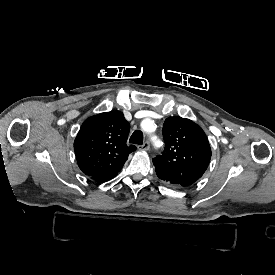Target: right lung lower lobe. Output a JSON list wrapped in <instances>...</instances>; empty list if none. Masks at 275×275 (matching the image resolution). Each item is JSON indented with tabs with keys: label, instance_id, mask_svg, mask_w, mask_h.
<instances>
[{
	"label": "right lung lower lobe",
	"instance_id": "98d812e1",
	"mask_svg": "<svg viewBox=\"0 0 275 275\" xmlns=\"http://www.w3.org/2000/svg\"><path fill=\"white\" fill-rule=\"evenodd\" d=\"M117 174L113 175H97V176H92L91 178L98 181V182H105L108 181L112 178H114Z\"/></svg>",
	"mask_w": 275,
	"mask_h": 275
}]
</instances>
